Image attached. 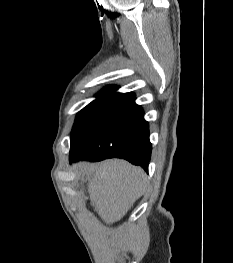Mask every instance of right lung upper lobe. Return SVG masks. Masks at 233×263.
<instances>
[{"label": "right lung upper lobe", "instance_id": "obj_1", "mask_svg": "<svg viewBox=\"0 0 233 263\" xmlns=\"http://www.w3.org/2000/svg\"><path fill=\"white\" fill-rule=\"evenodd\" d=\"M117 89H118L117 86H109V87L103 89L101 92H99L98 95L120 97L121 95L125 94V93H117L116 92Z\"/></svg>", "mask_w": 233, "mask_h": 263}]
</instances>
